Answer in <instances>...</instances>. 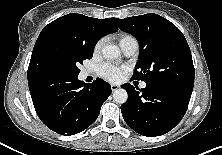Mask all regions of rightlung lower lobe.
<instances>
[{
  "label": "right lung lower lobe",
  "mask_w": 222,
  "mask_h": 155,
  "mask_svg": "<svg viewBox=\"0 0 222 155\" xmlns=\"http://www.w3.org/2000/svg\"><path fill=\"white\" fill-rule=\"evenodd\" d=\"M111 87L101 79L86 84L75 78H56L45 94H31L41 121L61 135H74L89 127L98 117Z\"/></svg>",
  "instance_id": "1"
}]
</instances>
